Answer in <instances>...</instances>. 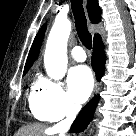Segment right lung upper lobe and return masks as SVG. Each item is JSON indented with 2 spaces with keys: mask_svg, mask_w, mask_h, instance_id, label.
Segmentation results:
<instances>
[{
  "mask_svg": "<svg viewBox=\"0 0 136 136\" xmlns=\"http://www.w3.org/2000/svg\"><path fill=\"white\" fill-rule=\"evenodd\" d=\"M87 9H88L90 21L92 23L96 24L101 21V9L98 5L97 0H88ZM45 30H46V25H43L34 39V42L30 49L28 59L25 65L24 73L28 71V69L32 66L33 62L36 60L38 56ZM98 37H100V35L96 34L94 36V40Z\"/></svg>",
  "mask_w": 136,
  "mask_h": 136,
  "instance_id": "obj_1",
  "label": "right lung upper lobe"
}]
</instances>
